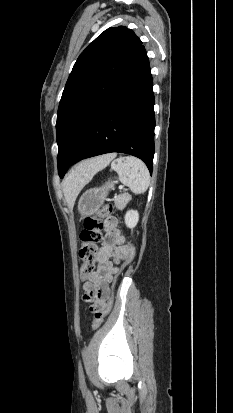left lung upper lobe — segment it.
I'll return each instance as SVG.
<instances>
[{
  "label": "left lung upper lobe",
  "instance_id": "left-lung-upper-lobe-1",
  "mask_svg": "<svg viewBox=\"0 0 233 413\" xmlns=\"http://www.w3.org/2000/svg\"><path fill=\"white\" fill-rule=\"evenodd\" d=\"M141 48V40L131 29L111 27L78 57L57 113L59 174L74 157L90 123L119 85Z\"/></svg>",
  "mask_w": 233,
  "mask_h": 413
}]
</instances>
